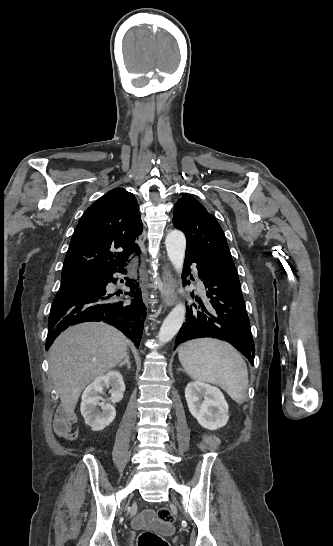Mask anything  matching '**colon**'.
Returning <instances> with one entry per match:
<instances>
[{
    "mask_svg": "<svg viewBox=\"0 0 333 546\" xmlns=\"http://www.w3.org/2000/svg\"><path fill=\"white\" fill-rule=\"evenodd\" d=\"M157 519L163 524H172L175 517L169 508L162 507L157 511ZM138 546H168V543L156 533L144 531L139 535Z\"/></svg>",
    "mask_w": 333,
    "mask_h": 546,
    "instance_id": "colon-1",
    "label": "colon"
}]
</instances>
